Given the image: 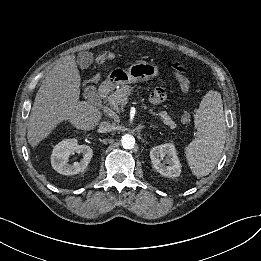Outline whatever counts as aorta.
<instances>
[{"label":"aorta","instance_id":"obj_1","mask_svg":"<svg viewBox=\"0 0 261 261\" xmlns=\"http://www.w3.org/2000/svg\"><path fill=\"white\" fill-rule=\"evenodd\" d=\"M121 144L124 149H132L135 145V138L130 134H125L121 138Z\"/></svg>","mask_w":261,"mask_h":261}]
</instances>
